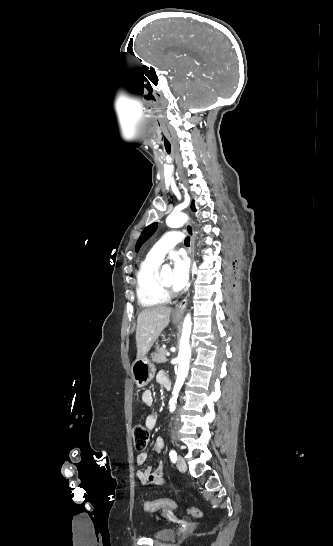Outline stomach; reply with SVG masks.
Instances as JSON below:
<instances>
[{"label":"stomach","mask_w":333,"mask_h":546,"mask_svg":"<svg viewBox=\"0 0 333 546\" xmlns=\"http://www.w3.org/2000/svg\"><path fill=\"white\" fill-rule=\"evenodd\" d=\"M131 374L135 384L144 387L154 378L155 366L147 357L137 358L131 366Z\"/></svg>","instance_id":"obj_1"}]
</instances>
